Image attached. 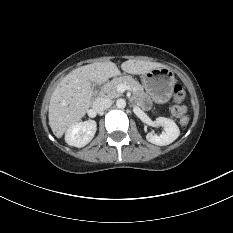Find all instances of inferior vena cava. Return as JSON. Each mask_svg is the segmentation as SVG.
I'll list each match as a JSON object with an SVG mask.
<instances>
[{
    "label": "inferior vena cava",
    "mask_w": 233,
    "mask_h": 233,
    "mask_svg": "<svg viewBox=\"0 0 233 233\" xmlns=\"http://www.w3.org/2000/svg\"><path fill=\"white\" fill-rule=\"evenodd\" d=\"M112 105V100L108 98H97L93 102V110L100 113Z\"/></svg>",
    "instance_id": "obj_1"
}]
</instances>
